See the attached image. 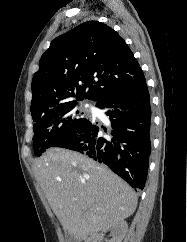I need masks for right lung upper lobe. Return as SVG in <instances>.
<instances>
[{
	"label": "right lung upper lobe",
	"instance_id": "1",
	"mask_svg": "<svg viewBox=\"0 0 187 242\" xmlns=\"http://www.w3.org/2000/svg\"><path fill=\"white\" fill-rule=\"evenodd\" d=\"M144 81L124 39L104 23L88 21L55 38L42 55L32 81L31 114L84 98L98 102Z\"/></svg>",
	"mask_w": 187,
	"mask_h": 242
}]
</instances>
